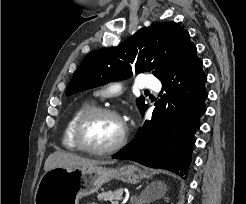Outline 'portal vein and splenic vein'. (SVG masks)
<instances>
[{"label":"portal vein and splenic vein","instance_id":"1","mask_svg":"<svg viewBox=\"0 0 246 204\" xmlns=\"http://www.w3.org/2000/svg\"><path fill=\"white\" fill-rule=\"evenodd\" d=\"M112 204H119V199H117L114 202H112Z\"/></svg>","mask_w":246,"mask_h":204}]
</instances>
